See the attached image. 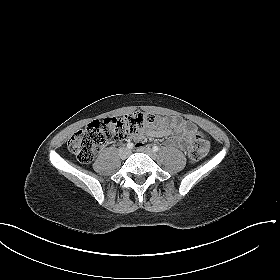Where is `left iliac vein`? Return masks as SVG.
I'll use <instances>...</instances> for the list:
<instances>
[{
	"mask_svg": "<svg viewBox=\"0 0 280 280\" xmlns=\"http://www.w3.org/2000/svg\"><path fill=\"white\" fill-rule=\"evenodd\" d=\"M138 151L149 155L152 159H157V157H158L157 154L153 150H151L150 148H147V147L140 148V149H138Z\"/></svg>",
	"mask_w": 280,
	"mask_h": 280,
	"instance_id": "left-iliac-vein-1",
	"label": "left iliac vein"
}]
</instances>
